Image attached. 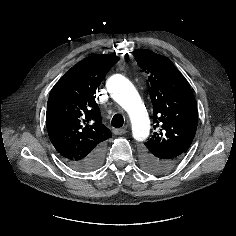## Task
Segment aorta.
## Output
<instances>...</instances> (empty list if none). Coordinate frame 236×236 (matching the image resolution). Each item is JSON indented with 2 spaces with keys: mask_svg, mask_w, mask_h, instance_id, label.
<instances>
[{
  "mask_svg": "<svg viewBox=\"0 0 236 236\" xmlns=\"http://www.w3.org/2000/svg\"><path fill=\"white\" fill-rule=\"evenodd\" d=\"M106 86L112 98L127 112L132 124L133 138L144 141L149 135L150 120L134 85L124 76L115 74L107 80Z\"/></svg>",
  "mask_w": 236,
  "mask_h": 236,
  "instance_id": "1",
  "label": "aorta"
}]
</instances>
